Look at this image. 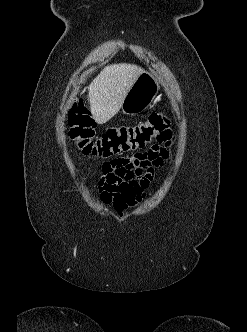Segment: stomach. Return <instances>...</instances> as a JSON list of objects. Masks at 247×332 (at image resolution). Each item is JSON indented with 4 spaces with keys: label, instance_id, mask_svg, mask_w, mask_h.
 I'll use <instances>...</instances> for the list:
<instances>
[{
    "label": "stomach",
    "instance_id": "stomach-1",
    "mask_svg": "<svg viewBox=\"0 0 247 332\" xmlns=\"http://www.w3.org/2000/svg\"><path fill=\"white\" fill-rule=\"evenodd\" d=\"M159 91L158 78L151 72L143 71L126 94L121 110L127 115L145 111L153 103Z\"/></svg>",
    "mask_w": 247,
    "mask_h": 332
}]
</instances>
